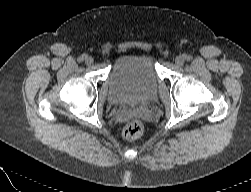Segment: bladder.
Instances as JSON below:
<instances>
[{
	"mask_svg": "<svg viewBox=\"0 0 251 192\" xmlns=\"http://www.w3.org/2000/svg\"><path fill=\"white\" fill-rule=\"evenodd\" d=\"M159 83L155 57L148 53L119 57L108 76V95L114 103L152 100Z\"/></svg>",
	"mask_w": 251,
	"mask_h": 192,
	"instance_id": "obj_1",
	"label": "bladder"
}]
</instances>
